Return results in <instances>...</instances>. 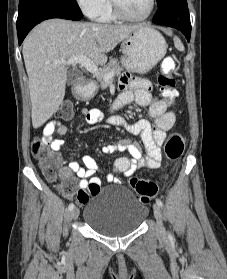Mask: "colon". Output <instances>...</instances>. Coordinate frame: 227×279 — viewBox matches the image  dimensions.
<instances>
[{
	"label": "colon",
	"instance_id": "obj_1",
	"mask_svg": "<svg viewBox=\"0 0 227 279\" xmlns=\"http://www.w3.org/2000/svg\"><path fill=\"white\" fill-rule=\"evenodd\" d=\"M160 72L157 76V82L160 89V94L166 100L172 102L177 96L176 80L174 78V72L176 70V64L172 57H165L161 60ZM73 114V106L63 104L60 108V118L65 120L69 119ZM184 138L179 133H172L169 135L164 152L165 156L170 161L178 160L184 151ZM31 154L34 159L39 162V165L47 179L54 181L56 177V167L58 165V155L49 151L45 147V141L43 139L35 140L31 146ZM130 185L139 196L141 203H147L158 193L157 184L154 181L146 180L138 177L130 178ZM60 188L67 194L75 193V181L73 179L68 180L60 185ZM99 189L97 183H92L89 187L91 193L96 192ZM77 199L86 198L87 194L79 190L77 191Z\"/></svg>",
	"mask_w": 227,
	"mask_h": 279
}]
</instances>
